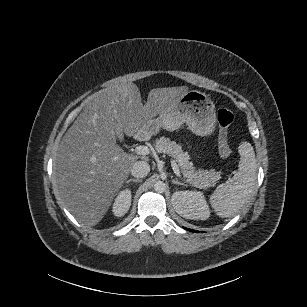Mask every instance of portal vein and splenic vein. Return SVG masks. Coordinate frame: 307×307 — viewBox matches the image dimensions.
Returning <instances> with one entry per match:
<instances>
[{"mask_svg": "<svg viewBox=\"0 0 307 307\" xmlns=\"http://www.w3.org/2000/svg\"><path fill=\"white\" fill-rule=\"evenodd\" d=\"M135 152L138 155H148L150 153V149L147 146L140 145L135 148ZM171 166L173 168L174 173L177 176H180L179 166L175 163V161H171ZM198 187V186H197Z\"/></svg>", "mask_w": 307, "mask_h": 307, "instance_id": "obj_1", "label": "portal vein and splenic vein"}]
</instances>
